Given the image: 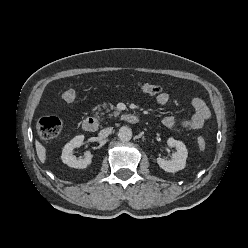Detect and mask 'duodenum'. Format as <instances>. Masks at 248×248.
Here are the masks:
<instances>
[{"label":"duodenum","mask_w":248,"mask_h":248,"mask_svg":"<svg viewBox=\"0 0 248 248\" xmlns=\"http://www.w3.org/2000/svg\"><path fill=\"white\" fill-rule=\"evenodd\" d=\"M119 119L129 124H136L139 122V116L132 113H123ZM101 121L97 116H88L82 122V129L85 132H95L99 129Z\"/></svg>","instance_id":"410a0bca"}]
</instances>
